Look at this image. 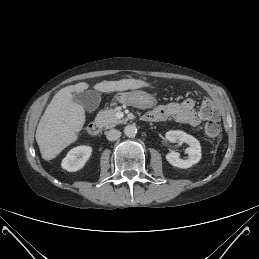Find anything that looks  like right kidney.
<instances>
[{"label":"right kidney","instance_id":"right-kidney-1","mask_svg":"<svg viewBox=\"0 0 259 259\" xmlns=\"http://www.w3.org/2000/svg\"><path fill=\"white\" fill-rule=\"evenodd\" d=\"M92 153L90 146H77L71 149L62 160L61 167L69 172H76L82 169Z\"/></svg>","mask_w":259,"mask_h":259}]
</instances>
